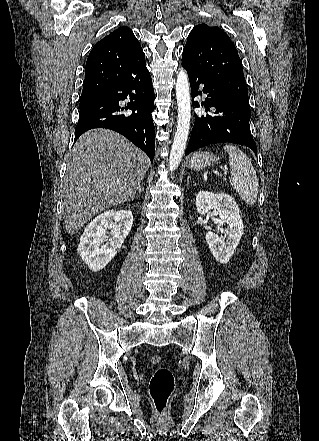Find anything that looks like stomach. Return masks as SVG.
<instances>
[{
  "mask_svg": "<svg viewBox=\"0 0 319 441\" xmlns=\"http://www.w3.org/2000/svg\"><path fill=\"white\" fill-rule=\"evenodd\" d=\"M215 161L216 158L210 153H194L188 161V167L194 170H201Z\"/></svg>",
  "mask_w": 319,
  "mask_h": 441,
  "instance_id": "1",
  "label": "stomach"
}]
</instances>
